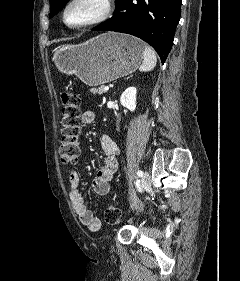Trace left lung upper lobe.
<instances>
[{
    "mask_svg": "<svg viewBox=\"0 0 240 281\" xmlns=\"http://www.w3.org/2000/svg\"><path fill=\"white\" fill-rule=\"evenodd\" d=\"M69 0H50V18L57 14ZM117 2V0H115Z\"/></svg>",
    "mask_w": 240,
    "mask_h": 281,
    "instance_id": "5c2ea615",
    "label": "left lung upper lobe"
}]
</instances>
